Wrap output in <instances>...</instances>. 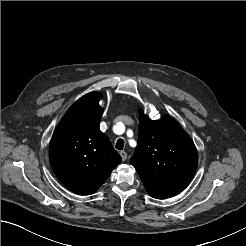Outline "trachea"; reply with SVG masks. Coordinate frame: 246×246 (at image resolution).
<instances>
[{"mask_svg": "<svg viewBox=\"0 0 246 246\" xmlns=\"http://www.w3.org/2000/svg\"><path fill=\"white\" fill-rule=\"evenodd\" d=\"M116 149L122 150L124 147V140L123 139H119L116 143Z\"/></svg>", "mask_w": 246, "mask_h": 246, "instance_id": "3493384b", "label": "trachea"}]
</instances>
